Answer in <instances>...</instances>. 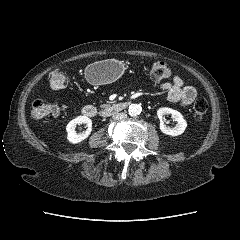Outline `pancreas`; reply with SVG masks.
Masks as SVG:
<instances>
[{
    "instance_id": "obj_1",
    "label": "pancreas",
    "mask_w": 240,
    "mask_h": 240,
    "mask_svg": "<svg viewBox=\"0 0 240 240\" xmlns=\"http://www.w3.org/2000/svg\"><path fill=\"white\" fill-rule=\"evenodd\" d=\"M108 106H109L108 104H102V105H101L102 108H106V107H108Z\"/></svg>"
}]
</instances>
